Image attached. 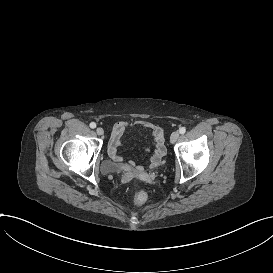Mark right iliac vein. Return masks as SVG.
<instances>
[{
    "label": "right iliac vein",
    "instance_id": "right-iliac-vein-1",
    "mask_svg": "<svg viewBox=\"0 0 273 273\" xmlns=\"http://www.w3.org/2000/svg\"><path fill=\"white\" fill-rule=\"evenodd\" d=\"M96 133H97L98 135H103V134H104L103 128L98 127V128L96 129Z\"/></svg>",
    "mask_w": 273,
    "mask_h": 273
}]
</instances>
